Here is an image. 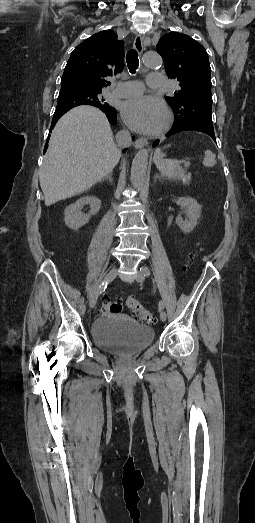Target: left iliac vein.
I'll use <instances>...</instances> for the list:
<instances>
[{
  "mask_svg": "<svg viewBox=\"0 0 255 523\" xmlns=\"http://www.w3.org/2000/svg\"><path fill=\"white\" fill-rule=\"evenodd\" d=\"M135 279L137 282L139 283H142L144 281V274L141 270H139L136 275H135ZM160 319L161 321H166L167 319V315H166V312L164 310H160Z\"/></svg>",
  "mask_w": 255,
  "mask_h": 523,
  "instance_id": "4c4485c4",
  "label": "left iliac vein"
}]
</instances>
